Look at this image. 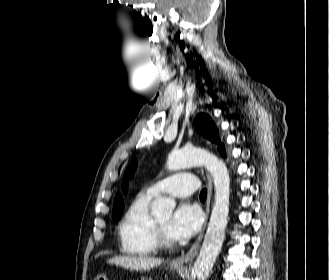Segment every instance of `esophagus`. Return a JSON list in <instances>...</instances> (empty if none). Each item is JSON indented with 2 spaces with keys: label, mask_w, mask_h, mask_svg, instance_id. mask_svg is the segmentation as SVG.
I'll return each instance as SVG.
<instances>
[{
  "label": "esophagus",
  "mask_w": 329,
  "mask_h": 280,
  "mask_svg": "<svg viewBox=\"0 0 329 280\" xmlns=\"http://www.w3.org/2000/svg\"><path fill=\"white\" fill-rule=\"evenodd\" d=\"M207 180H208V199H207L206 217H205L204 226H203L201 232L199 233L196 241L192 245L191 249L186 254H183L172 260V264H174V265H183L186 262L192 261L194 259V257L197 255L198 250L200 248V244H201V241H202V238L204 235V230H205V226H206L207 219H208L210 199H211V194H212V178L209 173H207Z\"/></svg>",
  "instance_id": "esophagus-1"
}]
</instances>
